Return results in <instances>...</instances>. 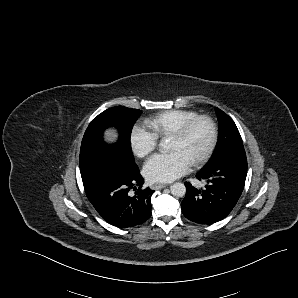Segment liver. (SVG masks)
I'll use <instances>...</instances> for the list:
<instances>
[{"label":"liver","mask_w":298,"mask_h":298,"mask_svg":"<svg viewBox=\"0 0 298 298\" xmlns=\"http://www.w3.org/2000/svg\"><path fill=\"white\" fill-rule=\"evenodd\" d=\"M117 133H116V131L115 130H107L106 132H105V139H106V141H108V142H114V141H116V139H117Z\"/></svg>","instance_id":"1"}]
</instances>
